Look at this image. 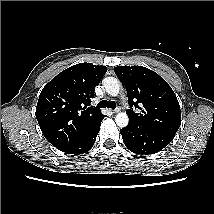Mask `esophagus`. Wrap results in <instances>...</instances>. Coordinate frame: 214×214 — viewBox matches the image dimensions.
Instances as JSON below:
<instances>
[{"label":"esophagus","instance_id":"esophagus-1","mask_svg":"<svg viewBox=\"0 0 214 214\" xmlns=\"http://www.w3.org/2000/svg\"><path fill=\"white\" fill-rule=\"evenodd\" d=\"M118 112H120V108H116L112 110V113H118Z\"/></svg>","mask_w":214,"mask_h":214}]
</instances>
